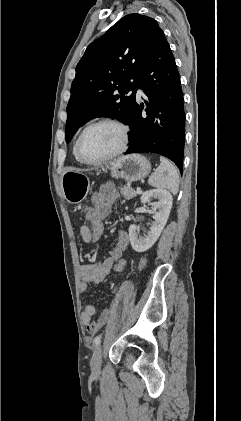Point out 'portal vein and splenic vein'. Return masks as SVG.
<instances>
[{
  "mask_svg": "<svg viewBox=\"0 0 241 421\" xmlns=\"http://www.w3.org/2000/svg\"><path fill=\"white\" fill-rule=\"evenodd\" d=\"M141 192H142L141 189H137L136 191L137 194H141Z\"/></svg>",
  "mask_w": 241,
  "mask_h": 421,
  "instance_id": "18ae733b",
  "label": "portal vein and splenic vein"
}]
</instances>
